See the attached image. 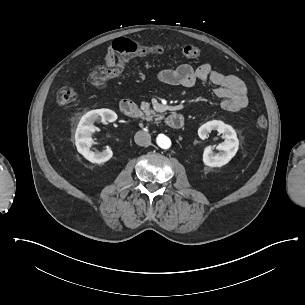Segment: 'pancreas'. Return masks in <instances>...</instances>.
I'll return each mask as SVG.
<instances>
[{
	"label": "pancreas",
	"mask_w": 305,
	"mask_h": 305,
	"mask_svg": "<svg viewBox=\"0 0 305 305\" xmlns=\"http://www.w3.org/2000/svg\"><path fill=\"white\" fill-rule=\"evenodd\" d=\"M141 109L143 110L144 114L141 113V118L147 121H152L155 118L156 123H159L160 120L164 118L163 115L157 114L154 110L150 109V104L147 102L141 103Z\"/></svg>",
	"instance_id": "pancreas-1"
}]
</instances>
